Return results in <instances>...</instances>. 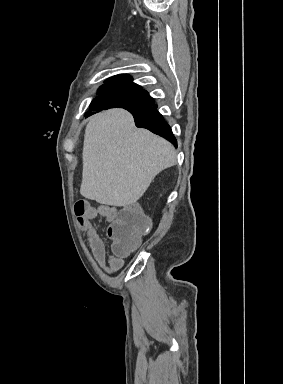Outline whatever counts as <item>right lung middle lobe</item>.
Instances as JSON below:
<instances>
[{
	"instance_id": "dd1d6c3e",
	"label": "right lung middle lobe",
	"mask_w": 283,
	"mask_h": 384,
	"mask_svg": "<svg viewBox=\"0 0 283 384\" xmlns=\"http://www.w3.org/2000/svg\"><path fill=\"white\" fill-rule=\"evenodd\" d=\"M153 104V98L145 90L101 86L98 90V96L90 105V109L103 110L112 107L145 109Z\"/></svg>"
}]
</instances>
